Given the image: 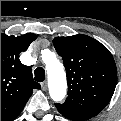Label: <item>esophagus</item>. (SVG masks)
<instances>
[{"instance_id":"1","label":"esophagus","mask_w":121,"mask_h":121,"mask_svg":"<svg viewBox=\"0 0 121 121\" xmlns=\"http://www.w3.org/2000/svg\"><path fill=\"white\" fill-rule=\"evenodd\" d=\"M47 87H48L47 81H43V82L41 83V88H42V90H43V91H46V90H47Z\"/></svg>"}]
</instances>
